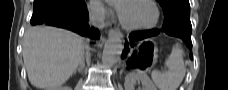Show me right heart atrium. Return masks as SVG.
Here are the masks:
<instances>
[{
	"label": "right heart atrium",
	"instance_id": "obj_1",
	"mask_svg": "<svg viewBox=\"0 0 228 90\" xmlns=\"http://www.w3.org/2000/svg\"><path fill=\"white\" fill-rule=\"evenodd\" d=\"M89 7L92 14L99 18H104L110 13L109 9L99 1H90Z\"/></svg>",
	"mask_w": 228,
	"mask_h": 90
}]
</instances>
